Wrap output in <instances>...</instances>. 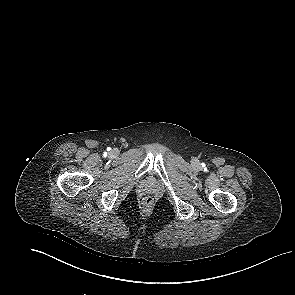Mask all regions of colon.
<instances>
[{
  "label": "colon",
  "mask_w": 295,
  "mask_h": 295,
  "mask_svg": "<svg viewBox=\"0 0 295 295\" xmlns=\"http://www.w3.org/2000/svg\"><path fill=\"white\" fill-rule=\"evenodd\" d=\"M152 201H153V198H152L151 196H146V197H145V203H146V204H151Z\"/></svg>",
  "instance_id": "1"
}]
</instances>
